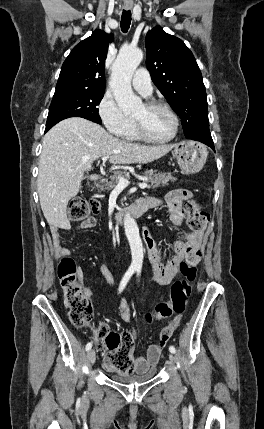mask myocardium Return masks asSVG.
Masks as SVG:
<instances>
[{
  "mask_svg": "<svg viewBox=\"0 0 264 429\" xmlns=\"http://www.w3.org/2000/svg\"><path fill=\"white\" fill-rule=\"evenodd\" d=\"M144 105L147 109H160V110L166 111L171 116V118L173 119L174 130H173L172 134L165 139H155V138L150 137L147 134L142 123L134 118V125L136 128V132H137L138 137L143 141H146L148 143H153V144H165V143L172 141L177 136V134L179 132L180 120H179L178 115L174 112V110L170 106H168L167 104L162 103V102L149 101V102H146Z\"/></svg>",
  "mask_w": 264,
  "mask_h": 429,
  "instance_id": "myocardium-1",
  "label": "myocardium"
}]
</instances>
